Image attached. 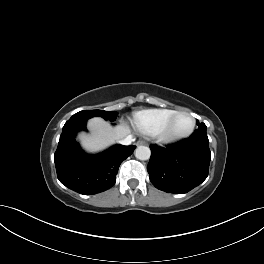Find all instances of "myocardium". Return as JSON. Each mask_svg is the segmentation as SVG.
Masks as SVG:
<instances>
[{
    "instance_id": "1",
    "label": "myocardium",
    "mask_w": 264,
    "mask_h": 264,
    "mask_svg": "<svg viewBox=\"0 0 264 264\" xmlns=\"http://www.w3.org/2000/svg\"><path fill=\"white\" fill-rule=\"evenodd\" d=\"M179 115H187L190 120H191V125L188 130L182 133H173L172 132V125L175 120V118ZM196 126V120L195 118L191 115V113L187 111H176L173 113L170 118L167 120V122L164 124V126L161 128V130L157 133V138L160 142L164 144H171V143H176L181 140H184L188 138L195 130Z\"/></svg>"
}]
</instances>
